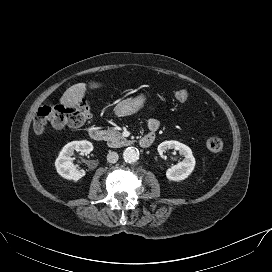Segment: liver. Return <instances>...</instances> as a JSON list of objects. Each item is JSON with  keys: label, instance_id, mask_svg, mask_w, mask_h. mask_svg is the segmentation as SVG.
I'll use <instances>...</instances> for the list:
<instances>
[{"label": "liver", "instance_id": "6515ba94", "mask_svg": "<svg viewBox=\"0 0 272 272\" xmlns=\"http://www.w3.org/2000/svg\"><path fill=\"white\" fill-rule=\"evenodd\" d=\"M86 84L78 83L69 87L60 98V104L64 107H73L80 104L81 99L85 96Z\"/></svg>", "mask_w": 272, "mask_h": 272}]
</instances>
